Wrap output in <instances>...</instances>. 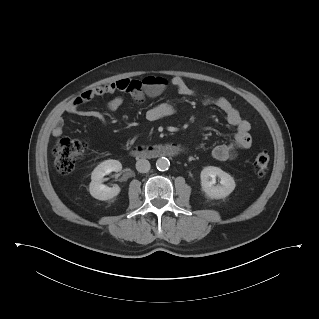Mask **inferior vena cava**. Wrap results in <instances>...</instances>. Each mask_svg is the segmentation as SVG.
<instances>
[{"instance_id": "1", "label": "inferior vena cava", "mask_w": 319, "mask_h": 319, "mask_svg": "<svg viewBox=\"0 0 319 319\" xmlns=\"http://www.w3.org/2000/svg\"><path fill=\"white\" fill-rule=\"evenodd\" d=\"M136 169L140 173H146L150 170V163L146 159H139L136 162Z\"/></svg>"}]
</instances>
